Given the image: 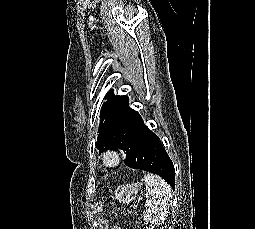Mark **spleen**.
<instances>
[{
    "mask_svg": "<svg viewBox=\"0 0 255 229\" xmlns=\"http://www.w3.org/2000/svg\"><path fill=\"white\" fill-rule=\"evenodd\" d=\"M146 185V203L143 218L151 223L160 224L167 217L172 203L170 186L159 176L151 173L144 175Z\"/></svg>",
    "mask_w": 255,
    "mask_h": 229,
    "instance_id": "spleen-1",
    "label": "spleen"
}]
</instances>
